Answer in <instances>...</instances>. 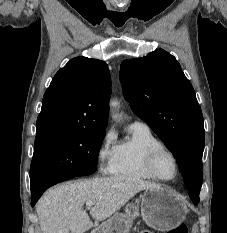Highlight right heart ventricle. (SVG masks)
<instances>
[{
    "instance_id": "e07e8e85",
    "label": "right heart ventricle",
    "mask_w": 227,
    "mask_h": 233,
    "mask_svg": "<svg viewBox=\"0 0 227 233\" xmlns=\"http://www.w3.org/2000/svg\"><path fill=\"white\" fill-rule=\"evenodd\" d=\"M163 146L149 128L129 127V136L117 144L113 174L128 178L154 179L145 167L149 150Z\"/></svg>"
}]
</instances>
